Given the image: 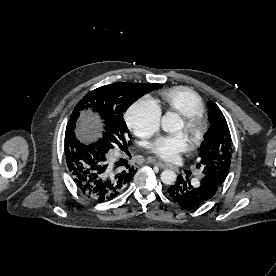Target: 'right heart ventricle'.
Returning a JSON list of instances; mask_svg holds the SVG:
<instances>
[{"mask_svg":"<svg viewBox=\"0 0 276 276\" xmlns=\"http://www.w3.org/2000/svg\"><path fill=\"white\" fill-rule=\"evenodd\" d=\"M164 104L170 111L180 115L204 112V103L201 97L186 87H176L161 93Z\"/></svg>","mask_w":276,"mask_h":276,"instance_id":"1","label":"right heart ventricle"}]
</instances>
